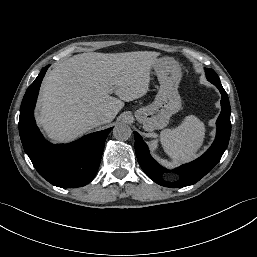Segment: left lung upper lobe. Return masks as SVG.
<instances>
[{"instance_id":"1","label":"left lung upper lobe","mask_w":257,"mask_h":257,"mask_svg":"<svg viewBox=\"0 0 257 257\" xmlns=\"http://www.w3.org/2000/svg\"><path fill=\"white\" fill-rule=\"evenodd\" d=\"M207 79L214 85H221L220 79L213 69H205Z\"/></svg>"}]
</instances>
